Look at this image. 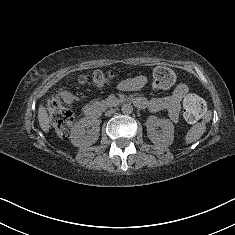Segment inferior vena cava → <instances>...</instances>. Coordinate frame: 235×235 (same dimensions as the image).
Segmentation results:
<instances>
[{
	"instance_id": "602c4592",
	"label": "inferior vena cava",
	"mask_w": 235,
	"mask_h": 235,
	"mask_svg": "<svg viewBox=\"0 0 235 235\" xmlns=\"http://www.w3.org/2000/svg\"><path fill=\"white\" fill-rule=\"evenodd\" d=\"M105 113H106V115H111L112 113H114V110H108Z\"/></svg>"
}]
</instances>
